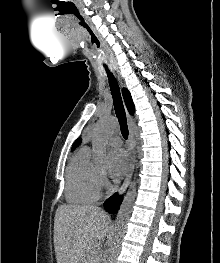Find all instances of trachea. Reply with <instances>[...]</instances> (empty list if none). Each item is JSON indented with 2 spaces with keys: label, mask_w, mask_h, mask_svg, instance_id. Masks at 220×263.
I'll list each match as a JSON object with an SVG mask.
<instances>
[{
  "label": "trachea",
  "mask_w": 220,
  "mask_h": 263,
  "mask_svg": "<svg viewBox=\"0 0 220 263\" xmlns=\"http://www.w3.org/2000/svg\"><path fill=\"white\" fill-rule=\"evenodd\" d=\"M108 79H109V85L111 89V94L113 98V104H114V110L116 113V116L118 118L119 124H120V129L121 133L124 139L128 138V127H127V121H126V114L120 94V88L119 85L113 76V74L109 71L107 66H105Z\"/></svg>",
  "instance_id": "obj_1"
}]
</instances>
